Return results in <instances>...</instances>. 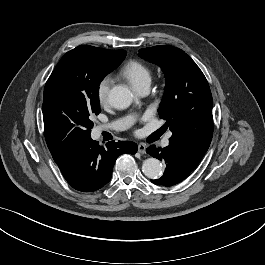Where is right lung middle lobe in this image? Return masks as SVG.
<instances>
[{
  "instance_id": "obj_1",
  "label": "right lung middle lobe",
  "mask_w": 265,
  "mask_h": 265,
  "mask_svg": "<svg viewBox=\"0 0 265 265\" xmlns=\"http://www.w3.org/2000/svg\"><path fill=\"white\" fill-rule=\"evenodd\" d=\"M124 50L88 45L67 52L49 77L43 98L45 138L53 157L90 137L101 112L99 85L125 59Z\"/></svg>"
}]
</instances>
